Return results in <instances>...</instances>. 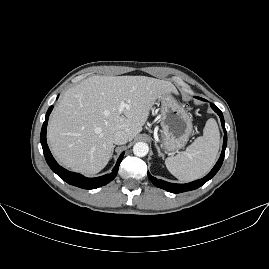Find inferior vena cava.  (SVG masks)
Instances as JSON below:
<instances>
[{
	"mask_svg": "<svg viewBox=\"0 0 269 269\" xmlns=\"http://www.w3.org/2000/svg\"><path fill=\"white\" fill-rule=\"evenodd\" d=\"M112 142L117 145H123L128 142V135L124 131H116L112 136Z\"/></svg>",
	"mask_w": 269,
	"mask_h": 269,
	"instance_id": "inferior-vena-cava-1",
	"label": "inferior vena cava"
}]
</instances>
